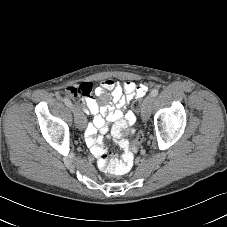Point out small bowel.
I'll return each instance as SVG.
<instances>
[{
  "label": "small bowel",
  "instance_id": "obj_1",
  "mask_svg": "<svg viewBox=\"0 0 227 227\" xmlns=\"http://www.w3.org/2000/svg\"><path fill=\"white\" fill-rule=\"evenodd\" d=\"M71 89L76 92V95L72 96L78 99L83 110L93 116L92 122L85 128V142L97 159L101 154L108 153L104 136L109 124H114L111 131L112 137L116 140L120 139L124 132L136 122L133 111L125 112L127 104L133 99L143 97L147 92V87L143 84L137 85L132 81L119 83L111 78L100 81L99 86L94 89L95 96H92L93 85L90 82ZM97 133H99L98 136H96ZM129 133L134 135L136 130L131 128ZM119 145L123 151L128 146L125 141H120Z\"/></svg>",
  "mask_w": 227,
  "mask_h": 227
}]
</instances>
